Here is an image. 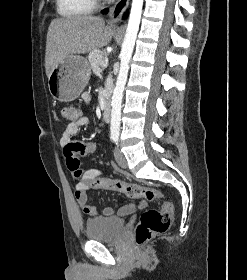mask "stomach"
<instances>
[{"label":"stomach","mask_w":247,"mask_h":280,"mask_svg":"<svg viewBox=\"0 0 247 280\" xmlns=\"http://www.w3.org/2000/svg\"><path fill=\"white\" fill-rule=\"evenodd\" d=\"M90 72L86 58L77 55L66 57L48 78L51 95L61 102L77 99L89 81Z\"/></svg>","instance_id":"0dacf381"}]
</instances>
